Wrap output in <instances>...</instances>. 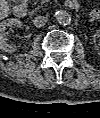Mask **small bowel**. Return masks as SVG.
I'll return each instance as SVG.
<instances>
[{"instance_id": "c3829d8e", "label": "small bowel", "mask_w": 100, "mask_h": 118, "mask_svg": "<svg viewBox=\"0 0 100 118\" xmlns=\"http://www.w3.org/2000/svg\"><path fill=\"white\" fill-rule=\"evenodd\" d=\"M98 15H99V11H98V10H94V11H93V16H94V17H97Z\"/></svg>"}]
</instances>
